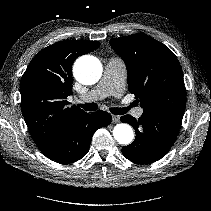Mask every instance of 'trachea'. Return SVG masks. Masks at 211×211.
Returning <instances> with one entry per match:
<instances>
[{
  "instance_id": "1",
  "label": "trachea",
  "mask_w": 211,
  "mask_h": 211,
  "mask_svg": "<svg viewBox=\"0 0 211 211\" xmlns=\"http://www.w3.org/2000/svg\"><path fill=\"white\" fill-rule=\"evenodd\" d=\"M79 106L86 111H95L98 108V105L96 103L79 104ZM132 106L133 105L126 108H110V112L115 115H122L127 113Z\"/></svg>"
}]
</instances>
